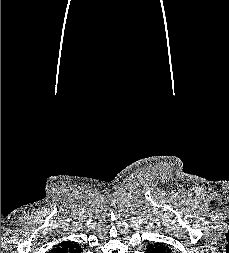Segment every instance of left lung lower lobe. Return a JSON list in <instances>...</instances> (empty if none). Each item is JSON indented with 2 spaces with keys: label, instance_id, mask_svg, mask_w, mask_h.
I'll list each match as a JSON object with an SVG mask.
<instances>
[{
  "label": "left lung lower lobe",
  "instance_id": "obj_1",
  "mask_svg": "<svg viewBox=\"0 0 229 253\" xmlns=\"http://www.w3.org/2000/svg\"><path fill=\"white\" fill-rule=\"evenodd\" d=\"M145 253H172V251L168 246H165L162 243H155L149 244Z\"/></svg>",
  "mask_w": 229,
  "mask_h": 253
}]
</instances>
